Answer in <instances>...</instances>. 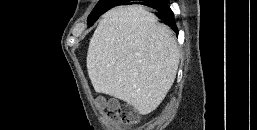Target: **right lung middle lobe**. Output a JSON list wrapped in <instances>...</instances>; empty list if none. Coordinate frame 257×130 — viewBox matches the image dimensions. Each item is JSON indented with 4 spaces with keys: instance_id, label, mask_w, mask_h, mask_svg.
<instances>
[{
    "instance_id": "right-lung-middle-lobe-1",
    "label": "right lung middle lobe",
    "mask_w": 257,
    "mask_h": 130,
    "mask_svg": "<svg viewBox=\"0 0 257 130\" xmlns=\"http://www.w3.org/2000/svg\"><path fill=\"white\" fill-rule=\"evenodd\" d=\"M121 2L123 1L100 0L88 17V25L91 26L107 9L111 8L112 6L119 5Z\"/></svg>"
}]
</instances>
